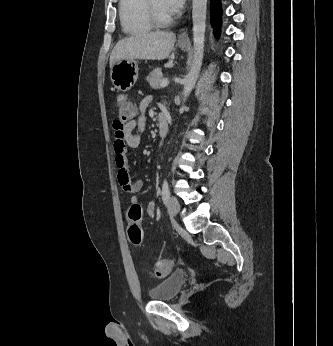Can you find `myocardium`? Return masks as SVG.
<instances>
[{
	"mask_svg": "<svg viewBox=\"0 0 333 346\" xmlns=\"http://www.w3.org/2000/svg\"><path fill=\"white\" fill-rule=\"evenodd\" d=\"M146 6L150 19L156 26L164 27L172 22L173 17L171 15L162 16L159 14L153 0H146Z\"/></svg>",
	"mask_w": 333,
	"mask_h": 346,
	"instance_id": "myocardium-1",
	"label": "myocardium"
}]
</instances>
